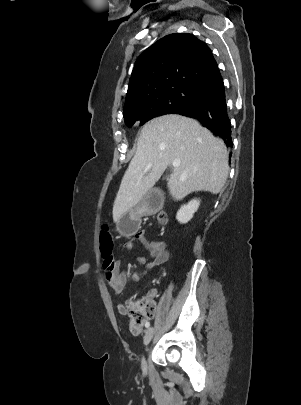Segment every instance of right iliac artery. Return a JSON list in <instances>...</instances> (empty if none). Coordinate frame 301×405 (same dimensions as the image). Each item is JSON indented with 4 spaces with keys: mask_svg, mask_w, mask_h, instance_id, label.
Masks as SVG:
<instances>
[{
    "mask_svg": "<svg viewBox=\"0 0 301 405\" xmlns=\"http://www.w3.org/2000/svg\"><path fill=\"white\" fill-rule=\"evenodd\" d=\"M149 326H150V323H149V322H146L145 327H146V328H149Z\"/></svg>",
    "mask_w": 301,
    "mask_h": 405,
    "instance_id": "right-iliac-artery-1",
    "label": "right iliac artery"
}]
</instances>
